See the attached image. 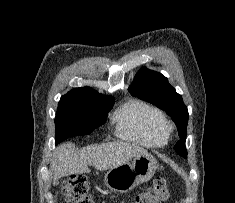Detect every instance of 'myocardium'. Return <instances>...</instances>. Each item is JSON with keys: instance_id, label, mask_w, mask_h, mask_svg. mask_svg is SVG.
<instances>
[{"instance_id": "f54148a6", "label": "myocardium", "mask_w": 235, "mask_h": 203, "mask_svg": "<svg viewBox=\"0 0 235 203\" xmlns=\"http://www.w3.org/2000/svg\"><path fill=\"white\" fill-rule=\"evenodd\" d=\"M162 127L169 133L173 129V123L169 119L164 117L162 121Z\"/></svg>"}]
</instances>
